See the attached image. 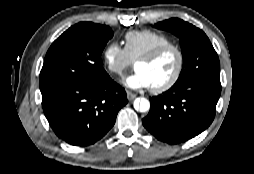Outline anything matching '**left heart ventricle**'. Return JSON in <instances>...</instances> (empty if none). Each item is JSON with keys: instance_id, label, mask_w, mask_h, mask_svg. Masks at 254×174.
I'll return each mask as SVG.
<instances>
[{"instance_id": "b2bd125f", "label": "left heart ventricle", "mask_w": 254, "mask_h": 174, "mask_svg": "<svg viewBox=\"0 0 254 174\" xmlns=\"http://www.w3.org/2000/svg\"><path fill=\"white\" fill-rule=\"evenodd\" d=\"M176 66V53L167 51L154 62H137L135 68L143 71L149 77L152 87H157L166 83L173 76Z\"/></svg>"}]
</instances>
